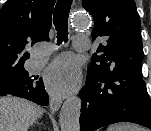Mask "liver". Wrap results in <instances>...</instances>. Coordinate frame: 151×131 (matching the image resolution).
<instances>
[{"label": "liver", "mask_w": 151, "mask_h": 131, "mask_svg": "<svg viewBox=\"0 0 151 131\" xmlns=\"http://www.w3.org/2000/svg\"><path fill=\"white\" fill-rule=\"evenodd\" d=\"M44 110L28 100L0 97V131H28Z\"/></svg>", "instance_id": "obj_1"}]
</instances>
